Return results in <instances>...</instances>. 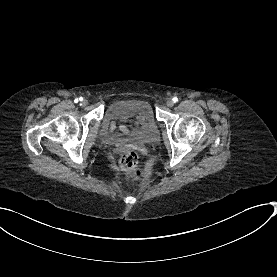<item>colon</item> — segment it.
<instances>
[{
  "label": "colon",
  "mask_w": 277,
  "mask_h": 277,
  "mask_svg": "<svg viewBox=\"0 0 277 277\" xmlns=\"http://www.w3.org/2000/svg\"><path fill=\"white\" fill-rule=\"evenodd\" d=\"M116 161L130 180L138 179L145 172V165L141 161V154L136 149L119 150L116 154Z\"/></svg>",
  "instance_id": "5ec220e1"
}]
</instances>
